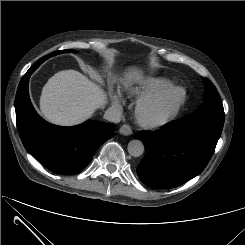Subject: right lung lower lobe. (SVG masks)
Listing matches in <instances>:
<instances>
[{
    "label": "right lung lower lobe",
    "mask_w": 245,
    "mask_h": 245,
    "mask_svg": "<svg viewBox=\"0 0 245 245\" xmlns=\"http://www.w3.org/2000/svg\"><path fill=\"white\" fill-rule=\"evenodd\" d=\"M31 73L22 78L16 98L17 128L26 150L50 171L72 175L82 171L94 152L110 139L114 124L88 120L73 127H61L43 120L34 110L28 93Z\"/></svg>",
    "instance_id": "98d812e1"
}]
</instances>
